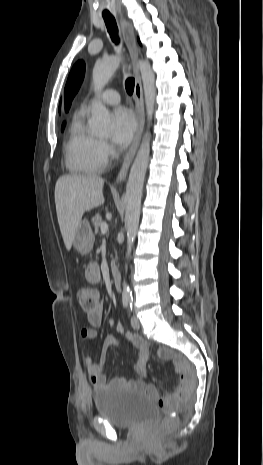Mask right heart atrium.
<instances>
[{
    "label": "right heart atrium",
    "mask_w": 263,
    "mask_h": 465,
    "mask_svg": "<svg viewBox=\"0 0 263 465\" xmlns=\"http://www.w3.org/2000/svg\"><path fill=\"white\" fill-rule=\"evenodd\" d=\"M99 148H100V154H101L102 158L105 161H107L109 159V157L112 155V147L110 146V144L107 141L100 140Z\"/></svg>",
    "instance_id": "right-heart-atrium-1"
}]
</instances>
